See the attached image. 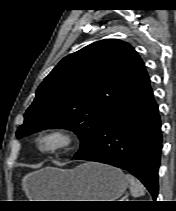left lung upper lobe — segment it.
<instances>
[{
  "mask_svg": "<svg viewBox=\"0 0 176 211\" xmlns=\"http://www.w3.org/2000/svg\"><path fill=\"white\" fill-rule=\"evenodd\" d=\"M149 87L143 61L131 45L116 39L92 43L63 58L40 84L17 137L48 127L70 129L81 140L77 156L115 110Z\"/></svg>",
  "mask_w": 176,
  "mask_h": 211,
  "instance_id": "1",
  "label": "left lung upper lobe"
}]
</instances>
